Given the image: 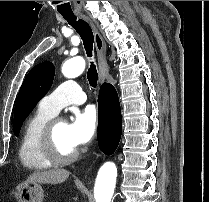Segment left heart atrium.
<instances>
[{
  "label": "left heart atrium",
  "mask_w": 209,
  "mask_h": 202,
  "mask_svg": "<svg viewBox=\"0 0 209 202\" xmlns=\"http://www.w3.org/2000/svg\"><path fill=\"white\" fill-rule=\"evenodd\" d=\"M98 113L93 105L76 110L73 119L67 124V134L71 144L78 148L89 142L96 133Z\"/></svg>",
  "instance_id": "1"
}]
</instances>
